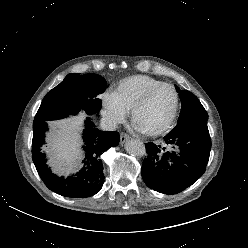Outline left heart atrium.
<instances>
[{"label": "left heart atrium", "instance_id": "obj_1", "mask_svg": "<svg viewBox=\"0 0 248 248\" xmlns=\"http://www.w3.org/2000/svg\"><path fill=\"white\" fill-rule=\"evenodd\" d=\"M136 129L140 130L138 127L135 126Z\"/></svg>", "mask_w": 248, "mask_h": 248}]
</instances>
